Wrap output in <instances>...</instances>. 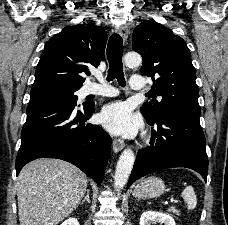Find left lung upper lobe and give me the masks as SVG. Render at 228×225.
Segmentation results:
<instances>
[{
  "label": "left lung upper lobe",
  "mask_w": 228,
  "mask_h": 225,
  "mask_svg": "<svg viewBox=\"0 0 228 225\" xmlns=\"http://www.w3.org/2000/svg\"><path fill=\"white\" fill-rule=\"evenodd\" d=\"M133 49L141 54V72L154 77L151 92L162 96L141 107L146 119L155 120L166 111H182L200 115L196 73L185 41L169 28L146 20L133 32Z\"/></svg>",
  "instance_id": "1"
}]
</instances>
